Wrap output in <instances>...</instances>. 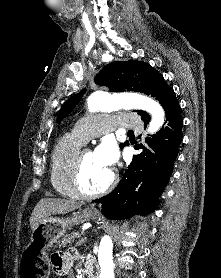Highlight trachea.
<instances>
[{
  "instance_id": "trachea-1",
  "label": "trachea",
  "mask_w": 221,
  "mask_h": 278,
  "mask_svg": "<svg viewBox=\"0 0 221 278\" xmlns=\"http://www.w3.org/2000/svg\"><path fill=\"white\" fill-rule=\"evenodd\" d=\"M128 133H129V134H132V133H133V131H132V130H129V131H128Z\"/></svg>"
}]
</instances>
